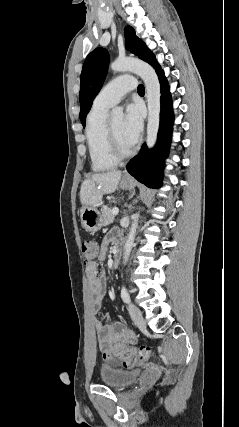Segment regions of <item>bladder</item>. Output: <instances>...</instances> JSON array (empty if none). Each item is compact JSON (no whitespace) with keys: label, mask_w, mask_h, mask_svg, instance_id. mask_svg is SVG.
I'll use <instances>...</instances> for the list:
<instances>
[{"label":"bladder","mask_w":239,"mask_h":427,"mask_svg":"<svg viewBox=\"0 0 239 427\" xmlns=\"http://www.w3.org/2000/svg\"><path fill=\"white\" fill-rule=\"evenodd\" d=\"M138 370H124L104 367L100 371V380L104 385L113 388H122L136 381Z\"/></svg>","instance_id":"31cf9c89"}]
</instances>
